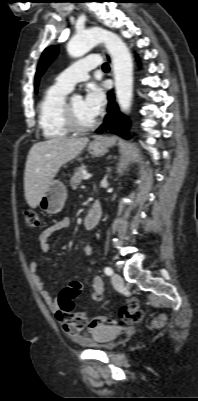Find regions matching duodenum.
I'll use <instances>...</instances> for the list:
<instances>
[{
  "label": "duodenum",
  "mask_w": 198,
  "mask_h": 401,
  "mask_svg": "<svg viewBox=\"0 0 198 401\" xmlns=\"http://www.w3.org/2000/svg\"><path fill=\"white\" fill-rule=\"evenodd\" d=\"M102 215L101 204L98 200H94L92 208L84 219V227L88 230L93 229L99 222Z\"/></svg>",
  "instance_id": "duodenum-1"
}]
</instances>
